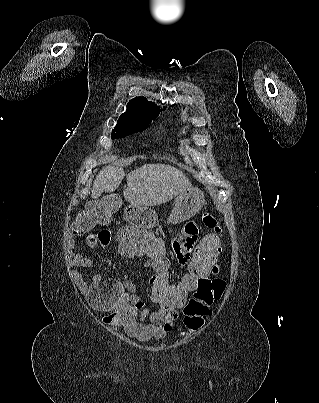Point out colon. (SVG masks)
<instances>
[{"mask_svg":"<svg viewBox=\"0 0 319 403\" xmlns=\"http://www.w3.org/2000/svg\"><path fill=\"white\" fill-rule=\"evenodd\" d=\"M120 205L119 192H105L103 199L94 197L87 201V210L74 223L75 231L84 234L96 224H107L116 216ZM202 219L207 227H219L218 220L212 215H204ZM117 233L109 240L121 260H144L145 268H154L150 273L149 303L156 304V313H179L177 339L186 341L189 335L202 333L212 315L211 305L222 301L227 289L226 281L216 283L214 276H209L211 266L220 264V258L224 257L223 232L213 231L212 238H200V242H195L190 250L192 260L183 267L178 282H170L169 278V268H175V259L166 252L169 248L167 234L147 233L141 226L118 227ZM198 284L202 288L199 296H191Z\"/></svg>","mask_w":319,"mask_h":403,"instance_id":"obj_1","label":"colon"}]
</instances>
